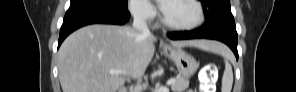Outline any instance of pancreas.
Returning a JSON list of instances; mask_svg holds the SVG:
<instances>
[{"instance_id":"pancreas-1","label":"pancreas","mask_w":296,"mask_h":92,"mask_svg":"<svg viewBox=\"0 0 296 92\" xmlns=\"http://www.w3.org/2000/svg\"><path fill=\"white\" fill-rule=\"evenodd\" d=\"M188 87H189V80L184 79L183 77H178L175 80V83L171 85V89L173 92H183Z\"/></svg>"}]
</instances>
